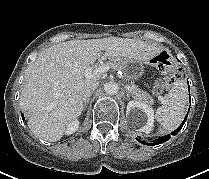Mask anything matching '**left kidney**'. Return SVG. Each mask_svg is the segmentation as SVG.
Instances as JSON below:
<instances>
[{"instance_id": "obj_1", "label": "left kidney", "mask_w": 209, "mask_h": 179, "mask_svg": "<svg viewBox=\"0 0 209 179\" xmlns=\"http://www.w3.org/2000/svg\"><path fill=\"white\" fill-rule=\"evenodd\" d=\"M140 112L145 114V121L143 123L139 122ZM126 115L130 118V123L133 127H139V130L145 133H149L154 124V111L152 107L139 102V101H130L127 104Z\"/></svg>"}]
</instances>
